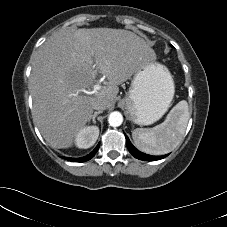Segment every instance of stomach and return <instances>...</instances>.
Listing matches in <instances>:
<instances>
[{
  "instance_id": "stomach-1",
  "label": "stomach",
  "mask_w": 227,
  "mask_h": 227,
  "mask_svg": "<svg viewBox=\"0 0 227 227\" xmlns=\"http://www.w3.org/2000/svg\"><path fill=\"white\" fill-rule=\"evenodd\" d=\"M175 85L168 68L156 60H148L134 73L123 104L129 119L140 126L159 120L168 110Z\"/></svg>"
}]
</instances>
